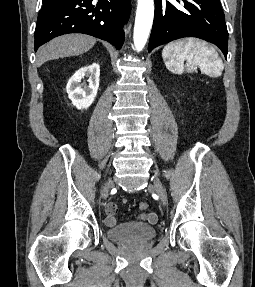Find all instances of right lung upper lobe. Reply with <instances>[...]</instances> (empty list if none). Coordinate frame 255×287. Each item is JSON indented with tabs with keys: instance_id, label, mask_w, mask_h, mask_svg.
<instances>
[{
	"instance_id": "cb5924a9",
	"label": "right lung upper lobe",
	"mask_w": 255,
	"mask_h": 287,
	"mask_svg": "<svg viewBox=\"0 0 255 287\" xmlns=\"http://www.w3.org/2000/svg\"><path fill=\"white\" fill-rule=\"evenodd\" d=\"M51 0H44L45 3H49Z\"/></svg>"
}]
</instances>
